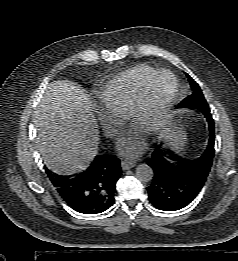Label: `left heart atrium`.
<instances>
[{
	"label": "left heart atrium",
	"instance_id": "39dd6f15",
	"mask_svg": "<svg viewBox=\"0 0 238 261\" xmlns=\"http://www.w3.org/2000/svg\"><path fill=\"white\" fill-rule=\"evenodd\" d=\"M146 147V139L144 133L132 127L117 142V150L123 156L129 158L138 157L143 153Z\"/></svg>",
	"mask_w": 238,
	"mask_h": 261
}]
</instances>
